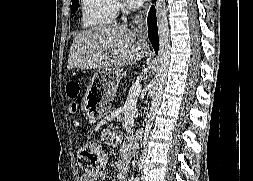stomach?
<instances>
[{"instance_id":"0dacf381","label":"stomach","mask_w":253,"mask_h":181,"mask_svg":"<svg viewBox=\"0 0 253 181\" xmlns=\"http://www.w3.org/2000/svg\"><path fill=\"white\" fill-rule=\"evenodd\" d=\"M121 77L120 70H97L95 72L82 107L87 119L95 121L107 114Z\"/></svg>"}]
</instances>
